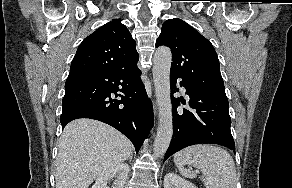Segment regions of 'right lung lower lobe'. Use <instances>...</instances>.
Instances as JSON below:
<instances>
[{
	"mask_svg": "<svg viewBox=\"0 0 292 188\" xmlns=\"http://www.w3.org/2000/svg\"><path fill=\"white\" fill-rule=\"evenodd\" d=\"M140 75L137 66L128 70L70 72L62 101V129L78 118L99 120L127 136L138 152L153 126L151 101Z\"/></svg>",
	"mask_w": 292,
	"mask_h": 188,
	"instance_id": "1",
	"label": "right lung lower lobe"
}]
</instances>
